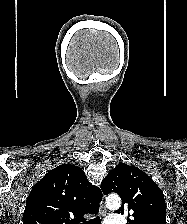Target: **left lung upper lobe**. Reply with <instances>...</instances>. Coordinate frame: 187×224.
I'll return each instance as SVG.
<instances>
[{"instance_id": "left-lung-upper-lobe-1", "label": "left lung upper lobe", "mask_w": 187, "mask_h": 224, "mask_svg": "<svg viewBox=\"0 0 187 224\" xmlns=\"http://www.w3.org/2000/svg\"><path fill=\"white\" fill-rule=\"evenodd\" d=\"M105 195L117 193L122 199L116 213L127 214V224H166V203L158 185L142 170L118 164L101 183Z\"/></svg>"}]
</instances>
